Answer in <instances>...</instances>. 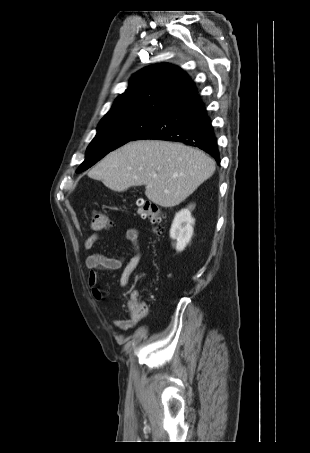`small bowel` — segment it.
I'll return each mask as SVG.
<instances>
[{"label":"small bowel","mask_w":310,"mask_h":453,"mask_svg":"<svg viewBox=\"0 0 310 453\" xmlns=\"http://www.w3.org/2000/svg\"><path fill=\"white\" fill-rule=\"evenodd\" d=\"M140 233L137 228H129L126 231V239L130 242L133 249V254L128 262L123 266L124 260L120 257H108L100 253L89 255L86 260V266L89 269L88 285L93 298L100 301L103 298L102 290L98 285L99 274L102 271L114 272L121 270L118 277L119 285L126 288L129 284V278L141 261L142 251L139 245ZM101 240L100 234H92L83 242L84 249H91ZM141 318L129 315L127 318H116L113 324L120 330H128L133 328Z\"/></svg>","instance_id":"1"}]
</instances>
